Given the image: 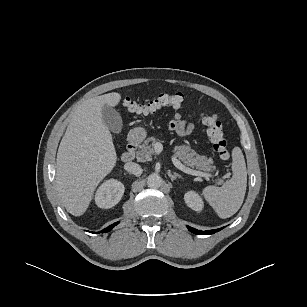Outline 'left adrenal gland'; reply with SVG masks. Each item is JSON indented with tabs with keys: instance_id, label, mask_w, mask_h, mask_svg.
Listing matches in <instances>:
<instances>
[{
	"instance_id": "a2214340",
	"label": "left adrenal gland",
	"mask_w": 307,
	"mask_h": 307,
	"mask_svg": "<svg viewBox=\"0 0 307 307\" xmlns=\"http://www.w3.org/2000/svg\"><path fill=\"white\" fill-rule=\"evenodd\" d=\"M168 176L170 177L171 181H174L176 178H181V175L178 173L174 172L172 174L170 171H168Z\"/></svg>"
}]
</instances>
